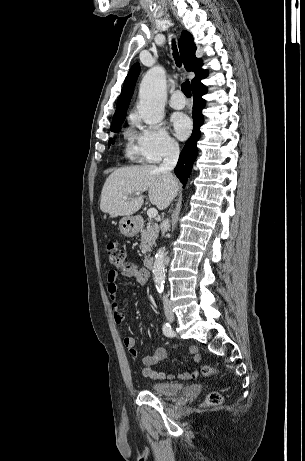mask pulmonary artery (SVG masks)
<instances>
[{"mask_svg":"<svg viewBox=\"0 0 305 461\" xmlns=\"http://www.w3.org/2000/svg\"><path fill=\"white\" fill-rule=\"evenodd\" d=\"M169 105L171 108L176 109V110H179L185 107L186 99L184 98L181 91H175L171 95L169 99Z\"/></svg>","mask_w":305,"mask_h":461,"instance_id":"e3ab8cb5","label":"pulmonary artery"}]
</instances>
